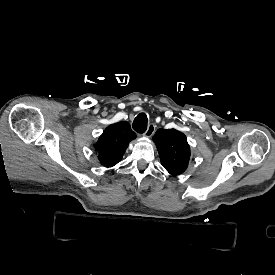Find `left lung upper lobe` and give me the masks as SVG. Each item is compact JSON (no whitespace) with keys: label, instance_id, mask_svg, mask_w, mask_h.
Returning a JSON list of instances; mask_svg holds the SVG:
<instances>
[{"label":"left lung upper lobe","instance_id":"1","mask_svg":"<svg viewBox=\"0 0 275 275\" xmlns=\"http://www.w3.org/2000/svg\"><path fill=\"white\" fill-rule=\"evenodd\" d=\"M161 164L172 175H180L188 166L190 146L185 134L176 129H159L153 136Z\"/></svg>","mask_w":275,"mask_h":275}]
</instances>
